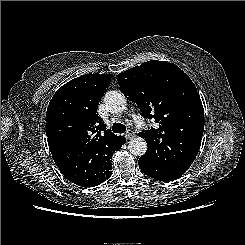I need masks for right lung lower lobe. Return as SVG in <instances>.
I'll use <instances>...</instances> for the list:
<instances>
[{"mask_svg": "<svg viewBox=\"0 0 245 245\" xmlns=\"http://www.w3.org/2000/svg\"><path fill=\"white\" fill-rule=\"evenodd\" d=\"M125 139L117 142L112 146L102 147L95 151L93 157V168L99 175L98 185L108 179L112 174V163L111 158L114 151L119 150L123 144H125ZM61 173L72 183L81 186L80 175L78 171L71 165L68 166H58ZM97 186V185H96Z\"/></svg>", "mask_w": 245, "mask_h": 245, "instance_id": "98d812e1", "label": "right lung lower lobe"}]
</instances>
